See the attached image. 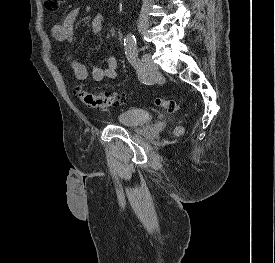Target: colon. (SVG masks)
I'll list each match as a JSON object with an SVG mask.
<instances>
[{
    "label": "colon",
    "instance_id": "1",
    "mask_svg": "<svg viewBox=\"0 0 275 263\" xmlns=\"http://www.w3.org/2000/svg\"><path fill=\"white\" fill-rule=\"evenodd\" d=\"M61 2L62 0H44V6L48 11L54 12L59 10ZM74 94L85 105L101 109L119 106L121 104H124L127 100V97L125 95L111 93H92L88 91L82 84L74 86ZM155 103L158 107H161L170 113L179 110V104L175 100L157 98ZM181 132V127H177L175 129L176 134H180Z\"/></svg>",
    "mask_w": 275,
    "mask_h": 263
}]
</instances>
